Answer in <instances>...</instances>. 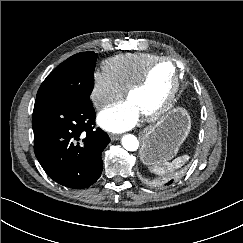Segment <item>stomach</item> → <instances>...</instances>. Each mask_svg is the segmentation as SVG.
<instances>
[{
    "mask_svg": "<svg viewBox=\"0 0 243 243\" xmlns=\"http://www.w3.org/2000/svg\"><path fill=\"white\" fill-rule=\"evenodd\" d=\"M190 128L191 119L185 109L177 107L169 110L159 121L143 130L141 161L153 166L171 160Z\"/></svg>",
    "mask_w": 243,
    "mask_h": 243,
    "instance_id": "obj_1",
    "label": "stomach"
}]
</instances>
